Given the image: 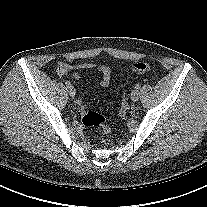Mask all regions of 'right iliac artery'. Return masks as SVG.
I'll return each mask as SVG.
<instances>
[{"label":"right iliac artery","mask_w":207,"mask_h":207,"mask_svg":"<svg viewBox=\"0 0 207 207\" xmlns=\"http://www.w3.org/2000/svg\"><path fill=\"white\" fill-rule=\"evenodd\" d=\"M65 84L67 87L71 86V83L69 81H66Z\"/></svg>","instance_id":"82829eb1"}]
</instances>
